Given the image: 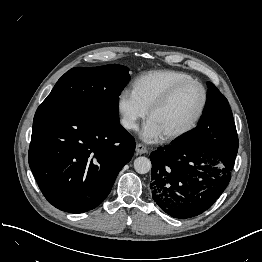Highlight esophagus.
<instances>
[{
    "label": "esophagus",
    "mask_w": 262,
    "mask_h": 262,
    "mask_svg": "<svg viewBox=\"0 0 262 262\" xmlns=\"http://www.w3.org/2000/svg\"><path fill=\"white\" fill-rule=\"evenodd\" d=\"M148 150H147V147L141 143H137L136 144V152L137 154H144L146 153Z\"/></svg>",
    "instance_id": "1"
}]
</instances>
